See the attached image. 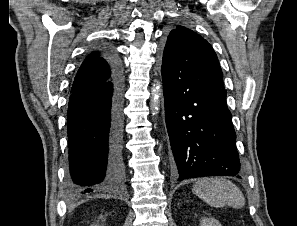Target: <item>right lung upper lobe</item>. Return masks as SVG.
I'll return each mask as SVG.
<instances>
[{
    "instance_id": "1",
    "label": "right lung upper lobe",
    "mask_w": 297,
    "mask_h": 226,
    "mask_svg": "<svg viewBox=\"0 0 297 226\" xmlns=\"http://www.w3.org/2000/svg\"><path fill=\"white\" fill-rule=\"evenodd\" d=\"M112 59L110 54L100 51L89 54L75 76L71 93L92 89L109 82L112 75Z\"/></svg>"
}]
</instances>
